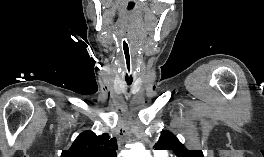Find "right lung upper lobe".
<instances>
[{"label":"right lung upper lobe","mask_w":264,"mask_h":157,"mask_svg":"<svg viewBox=\"0 0 264 157\" xmlns=\"http://www.w3.org/2000/svg\"><path fill=\"white\" fill-rule=\"evenodd\" d=\"M116 139L107 133L97 136L92 131L82 132L69 150H63L61 157H116Z\"/></svg>","instance_id":"right-lung-upper-lobe-1"}]
</instances>
